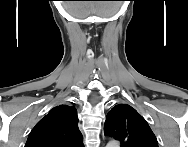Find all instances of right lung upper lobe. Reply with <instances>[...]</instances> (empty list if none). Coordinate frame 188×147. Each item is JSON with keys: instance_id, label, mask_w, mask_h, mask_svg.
Listing matches in <instances>:
<instances>
[{"instance_id": "obj_1", "label": "right lung upper lobe", "mask_w": 188, "mask_h": 147, "mask_svg": "<svg viewBox=\"0 0 188 147\" xmlns=\"http://www.w3.org/2000/svg\"><path fill=\"white\" fill-rule=\"evenodd\" d=\"M25 147H84L75 107L52 108L32 129Z\"/></svg>"}]
</instances>
